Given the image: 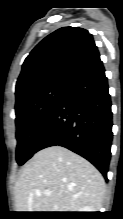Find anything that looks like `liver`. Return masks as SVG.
<instances>
[{
  "label": "liver",
  "instance_id": "obj_1",
  "mask_svg": "<svg viewBox=\"0 0 123 219\" xmlns=\"http://www.w3.org/2000/svg\"><path fill=\"white\" fill-rule=\"evenodd\" d=\"M105 188L103 176L90 162L51 146L24 165L14 189L16 212H79L85 206L99 210Z\"/></svg>",
  "mask_w": 123,
  "mask_h": 219
}]
</instances>
